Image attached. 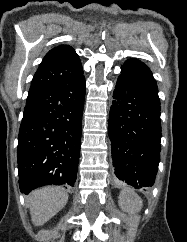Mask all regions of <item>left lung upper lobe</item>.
<instances>
[{"label":"left lung upper lobe","instance_id":"left-lung-upper-lobe-1","mask_svg":"<svg viewBox=\"0 0 187 242\" xmlns=\"http://www.w3.org/2000/svg\"><path fill=\"white\" fill-rule=\"evenodd\" d=\"M121 70V74L135 79L155 90H158L151 70L143 62L134 58L128 59L122 65Z\"/></svg>","mask_w":187,"mask_h":242}]
</instances>
